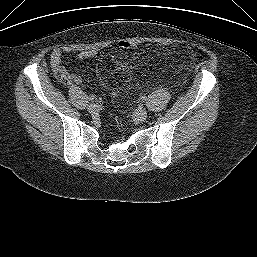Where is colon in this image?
I'll list each match as a JSON object with an SVG mask.
<instances>
[{"label": "colon", "instance_id": "5ec220e1", "mask_svg": "<svg viewBox=\"0 0 257 257\" xmlns=\"http://www.w3.org/2000/svg\"><path fill=\"white\" fill-rule=\"evenodd\" d=\"M119 47L122 49H135L138 47V44L134 41L130 40H121L118 43ZM55 77L57 80L63 84L69 83V76L66 72L63 71H55Z\"/></svg>", "mask_w": 257, "mask_h": 257}]
</instances>
